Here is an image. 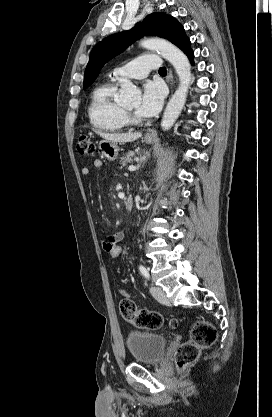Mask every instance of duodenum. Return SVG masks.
<instances>
[{"mask_svg": "<svg viewBox=\"0 0 272 417\" xmlns=\"http://www.w3.org/2000/svg\"><path fill=\"white\" fill-rule=\"evenodd\" d=\"M134 205V198L132 195H129L125 198L124 206L126 210H131Z\"/></svg>", "mask_w": 272, "mask_h": 417, "instance_id": "410a0bca", "label": "duodenum"}]
</instances>
